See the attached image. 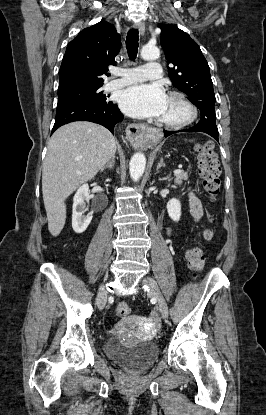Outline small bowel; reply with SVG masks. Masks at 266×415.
<instances>
[{
    "mask_svg": "<svg viewBox=\"0 0 266 415\" xmlns=\"http://www.w3.org/2000/svg\"><path fill=\"white\" fill-rule=\"evenodd\" d=\"M188 201H189V211L194 220V222H198L203 216V207L202 203L199 198L191 191L188 190ZM167 234H171V230H167Z\"/></svg>",
    "mask_w": 266,
    "mask_h": 415,
    "instance_id": "c3829d8e",
    "label": "small bowel"
}]
</instances>
